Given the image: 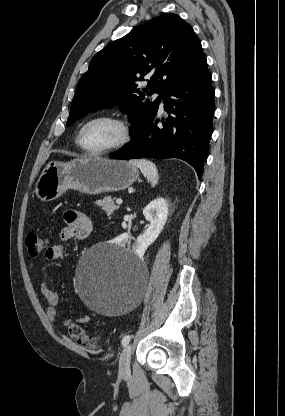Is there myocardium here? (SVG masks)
Segmentation results:
<instances>
[{
  "mask_svg": "<svg viewBox=\"0 0 285 416\" xmlns=\"http://www.w3.org/2000/svg\"><path fill=\"white\" fill-rule=\"evenodd\" d=\"M102 120L111 122L117 127V129L119 131V139L113 146L108 147L106 149L90 150V149L86 148L82 143L83 131L89 124H91L95 121H102ZM129 140H130L129 126L120 117L115 116V115H110V114H99V115H95V116L91 117L90 119H88L81 126V128H80V130L77 134V139H76L77 145L79 146V148L85 154L90 155V156H105V155H109V154H113L115 152H118L128 144Z\"/></svg>",
  "mask_w": 285,
  "mask_h": 416,
  "instance_id": "f54148a6",
  "label": "myocardium"
}]
</instances>
